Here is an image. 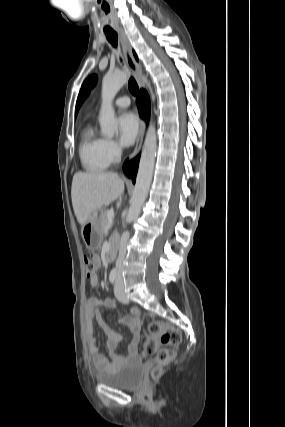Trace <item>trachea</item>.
I'll return each instance as SVG.
<instances>
[{
    "mask_svg": "<svg viewBox=\"0 0 285 427\" xmlns=\"http://www.w3.org/2000/svg\"><path fill=\"white\" fill-rule=\"evenodd\" d=\"M105 35H106L107 40L114 47H117V37H118L117 33L115 31L111 30V31H105ZM128 88H129V91L132 93V95L135 96L138 93L139 88H138V85H137V83L133 77H131L129 79Z\"/></svg>",
    "mask_w": 285,
    "mask_h": 427,
    "instance_id": "obj_1",
    "label": "trachea"
}]
</instances>
